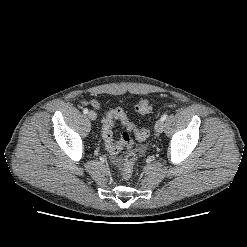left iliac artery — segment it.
Listing matches in <instances>:
<instances>
[{
	"label": "left iliac artery",
	"instance_id": "44dca946",
	"mask_svg": "<svg viewBox=\"0 0 247 247\" xmlns=\"http://www.w3.org/2000/svg\"><path fill=\"white\" fill-rule=\"evenodd\" d=\"M167 116H168V114H166V113H165V114H163V115L161 116V120H162V121H165V120H166V118H167Z\"/></svg>",
	"mask_w": 247,
	"mask_h": 247
}]
</instances>
